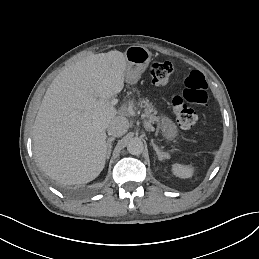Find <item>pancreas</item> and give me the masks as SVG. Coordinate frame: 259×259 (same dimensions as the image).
Masks as SVG:
<instances>
[{"label":"pancreas","instance_id":"obj_1","mask_svg":"<svg viewBox=\"0 0 259 259\" xmlns=\"http://www.w3.org/2000/svg\"><path fill=\"white\" fill-rule=\"evenodd\" d=\"M145 105V113L149 117V121L153 122L157 120V117L153 116V109L148 107V102H144Z\"/></svg>","mask_w":259,"mask_h":259}]
</instances>
